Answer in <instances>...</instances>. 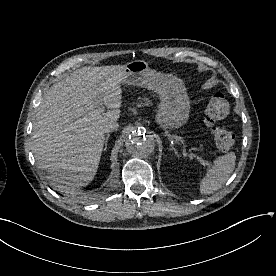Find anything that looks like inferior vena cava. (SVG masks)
I'll list each match as a JSON object with an SVG mask.
<instances>
[{
    "label": "inferior vena cava",
    "instance_id": "obj_1",
    "mask_svg": "<svg viewBox=\"0 0 276 276\" xmlns=\"http://www.w3.org/2000/svg\"><path fill=\"white\" fill-rule=\"evenodd\" d=\"M118 127H119V124L116 121H110L103 126V131L104 133H110L117 130Z\"/></svg>",
    "mask_w": 276,
    "mask_h": 276
}]
</instances>
